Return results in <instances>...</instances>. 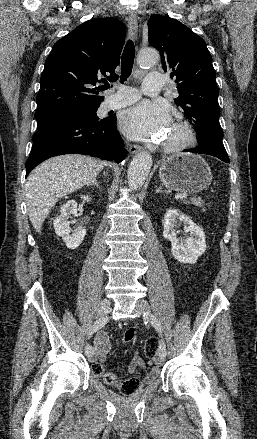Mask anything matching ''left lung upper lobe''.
<instances>
[{
  "label": "left lung upper lobe",
  "mask_w": 257,
  "mask_h": 439,
  "mask_svg": "<svg viewBox=\"0 0 257 439\" xmlns=\"http://www.w3.org/2000/svg\"><path fill=\"white\" fill-rule=\"evenodd\" d=\"M149 43L161 55L162 67L177 83L175 99L196 130L198 148L226 151L219 123L218 87L205 41L176 19L152 15Z\"/></svg>",
  "instance_id": "5c2ea615"
}]
</instances>
